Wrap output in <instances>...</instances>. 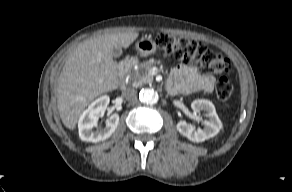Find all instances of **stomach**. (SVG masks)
Masks as SVG:
<instances>
[{
  "instance_id": "0dacf381",
  "label": "stomach",
  "mask_w": 292,
  "mask_h": 192,
  "mask_svg": "<svg viewBox=\"0 0 292 192\" xmlns=\"http://www.w3.org/2000/svg\"><path fill=\"white\" fill-rule=\"evenodd\" d=\"M136 49L140 56L145 57L154 54L157 50V45L150 37H144L136 43Z\"/></svg>"
}]
</instances>
